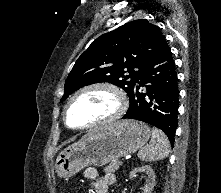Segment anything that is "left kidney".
I'll return each mask as SVG.
<instances>
[{
	"label": "left kidney",
	"instance_id": "5707ae66",
	"mask_svg": "<svg viewBox=\"0 0 221 193\" xmlns=\"http://www.w3.org/2000/svg\"><path fill=\"white\" fill-rule=\"evenodd\" d=\"M138 172L146 173L148 176L142 193H151L155 185V173L153 169L149 165L136 167L130 172V176L134 177Z\"/></svg>",
	"mask_w": 221,
	"mask_h": 193
}]
</instances>
